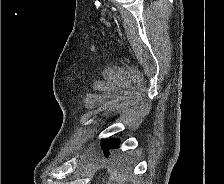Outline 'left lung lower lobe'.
Instances as JSON below:
<instances>
[{"mask_svg":"<svg viewBox=\"0 0 224 184\" xmlns=\"http://www.w3.org/2000/svg\"><path fill=\"white\" fill-rule=\"evenodd\" d=\"M101 145H102V148L104 149L105 156L108 157L109 156L108 150L110 148H112V149L118 148L119 140L118 139L102 140Z\"/></svg>","mask_w":224,"mask_h":184,"instance_id":"left-lung-lower-lobe-1","label":"left lung lower lobe"}]
</instances>
